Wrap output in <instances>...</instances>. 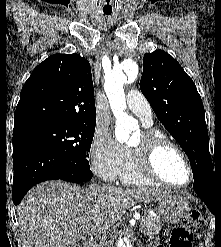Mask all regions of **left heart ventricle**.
<instances>
[{"instance_id": "obj_1", "label": "left heart ventricle", "mask_w": 221, "mask_h": 247, "mask_svg": "<svg viewBox=\"0 0 221 247\" xmlns=\"http://www.w3.org/2000/svg\"><path fill=\"white\" fill-rule=\"evenodd\" d=\"M140 137L141 133L136 134L129 145L138 144ZM156 165L161 176L169 182L185 184L189 180V174L183 159L172 149L162 150L157 156Z\"/></svg>"}]
</instances>
